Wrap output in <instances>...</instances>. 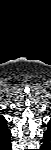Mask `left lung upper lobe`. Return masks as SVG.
<instances>
[{
	"label": "left lung upper lobe",
	"mask_w": 51,
	"mask_h": 150,
	"mask_svg": "<svg viewBox=\"0 0 51 150\" xmlns=\"http://www.w3.org/2000/svg\"><path fill=\"white\" fill-rule=\"evenodd\" d=\"M47 130H50V125L48 126V129Z\"/></svg>",
	"instance_id": "left-lung-upper-lobe-1"
}]
</instances>
